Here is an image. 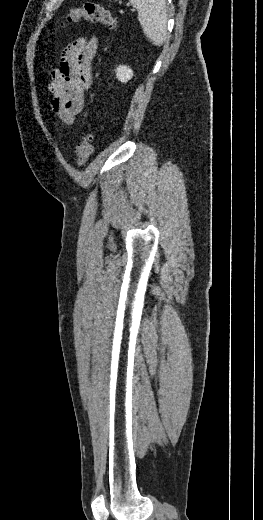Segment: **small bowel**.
Here are the masks:
<instances>
[{
  "label": "small bowel",
  "instance_id": "1",
  "mask_svg": "<svg viewBox=\"0 0 263 520\" xmlns=\"http://www.w3.org/2000/svg\"><path fill=\"white\" fill-rule=\"evenodd\" d=\"M96 52V38H80L65 48L58 67L51 71V108L66 124H72L84 108L86 91L93 82L92 61Z\"/></svg>",
  "mask_w": 263,
  "mask_h": 520
}]
</instances>
